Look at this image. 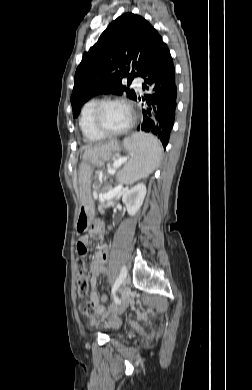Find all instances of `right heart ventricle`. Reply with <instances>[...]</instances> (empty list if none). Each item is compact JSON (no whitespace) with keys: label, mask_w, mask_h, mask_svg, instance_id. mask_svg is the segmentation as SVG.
Returning <instances> with one entry per match:
<instances>
[{"label":"right heart ventricle","mask_w":252,"mask_h":390,"mask_svg":"<svg viewBox=\"0 0 252 390\" xmlns=\"http://www.w3.org/2000/svg\"><path fill=\"white\" fill-rule=\"evenodd\" d=\"M99 102L97 99L88 100L81 109L79 126L87 142L95 143L101 141L105 136L101 135L93 126L92 113L94 107Z\"/></svg>","instance_id":"e07e8e85"}]
</instances>
